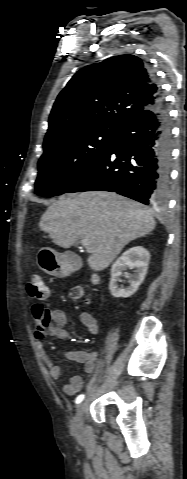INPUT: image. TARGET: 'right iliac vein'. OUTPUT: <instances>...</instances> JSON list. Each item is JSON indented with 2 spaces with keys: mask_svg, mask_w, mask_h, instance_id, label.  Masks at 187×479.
Returning a JSON list of instances; mask_svg holds the SVG:
<instances>
[{
  "mask_svg": "<svg viewBox=\"0 0 187 479\" xmlns=\"http://www.w3.org/2000/svg\"><path fill=\"white\" fill-rule=\"evenodd\" d=\"M86 408L87 406L85 402H81L76 408V413L71 424L73 431L76 433H80L82 430V426H83L82 419L86 411Z\"/></svg>",
  "mask_w": 187,
  "mask_h": 479,
  "instance_id": "obj_1",
  "label": "right iliac vein"
}]
</instances>
